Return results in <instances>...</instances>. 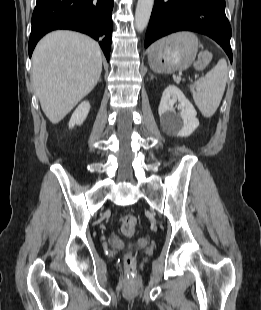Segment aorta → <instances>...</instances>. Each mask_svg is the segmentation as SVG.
I'll use <instances>...</instances> for the list:
<instances>
[{
	"instance_id": "aorta-1",
	"label": "aorta",
	"mask_w": 261,
	"mask_h": 310,
	"mask_svg": "<svg viewBox=\"0 0 261 310\" xmlns=\"http://www.w3.org/2000/svg\"><path fill=\"white\" fill-rule=\"evenodd\" d=\"M154 0H138L135 11V26L139 32L144 31L147 27Z\"/></svg>"
}]
</instances>
